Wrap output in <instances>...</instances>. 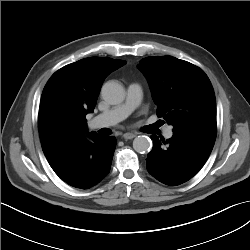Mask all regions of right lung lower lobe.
<instances>
[{
  "mask_svg": "<svg viewBox=\"0 0 250 250\" xmlns=\"http://www.w3.org/2000/svg\"><path fill=\"white\" fill-rule=\"evenodd\" d=\"M115 147V137L90 132L56 146L45 156L64 182L89 189L108 174Z\"/></svg>",
  "mask_w": 250,
  "mask_h": 250,
  "instance_id": "1",
  "label": "right lung lower lobe"
}]
</instances>
